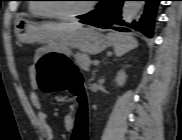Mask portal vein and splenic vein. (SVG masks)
Segmentation results:
<instances>
[{"mask_svg": "<svg viewBox=\"0 0 182 140\" xmlns=\"http://www.w3.org/2000/svg\"><path fill=\"white\" fill-rule=\"evenodd\" d=\"M98 63H99L98 60H94V61H93V64H94V65H98Z\"/></svg>", "mask_w": 182, "mask_h": 140, "instance_id": "obj_1", "label": "portal vein and splenic vein"}]
</instances>
